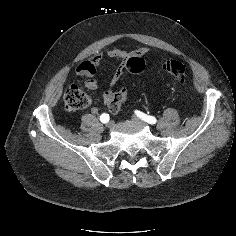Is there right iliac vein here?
Returning a JSON list of instances; mask_svg holds the SVG:
<instances>
[{
    "mask_svg": "<svg viewBox=\"0 0 236 236\" xmlns=\"http://www.w3.org/2000/svg\"><path fill=\"white\" fill-rule=\"evenodd\" d=\"M113 126H114V123L112 121H110L106 124V127L109 129H111Z\"/></svg>",
    "mask_w": 236,
    "mask_h": 236,
    "instance_id": "obj_1",
    "label": "right iliac vein"
}]
</instances>
